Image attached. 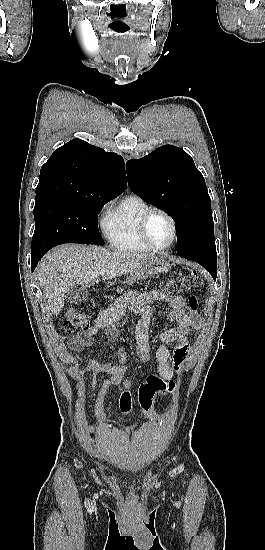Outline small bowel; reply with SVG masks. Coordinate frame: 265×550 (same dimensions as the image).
<instances>
[{
    "instance_id": "obj_1",
    "label": "small bowel",
    "mask_w": 265,
    "mask_h": 550,
    "mask_svg": "<svg viewBox=\"0 0 265 550\" xmlns=\"http://www.w3.org/2000/svg\"><path fill=\"white\" fill-rule=\"evenodd\" d=\"M155 303H161L166 307L168 309V319L177 325L175 328L163 331L160 334V345L154 354L158 364L159 376L172 386L174 393L173 378L176 374L182 372L184 368L189 353L187 338L198 324L197 316L184 309V302L178 296L164 295L158 290L147 292L128 291L102 311L90 328L70 337L67 342L69 349L72 351L84 350L92 344L94 336L100 331H105L109 340L114 342L118 337L115 327L116 322L127 311H133L140 315L135 326V354L140 362H148L153 356L150 349V326L156 313ZM125 358V349L120 347L118 350V363L91 358L78 371L79 376L87 373L94 375L105 373L109 375V378L105 379L97 389L99 415H101L104 397L112 387H118L121 391L119 396L120 410L126 415L132 412L133 402L130 390L133 384L131 380L125 379L128 370ZM66 360L73 362L75 357L71 353H67ZM96 385V378L93 376L91 386L96 388ZM164 395H169V393L166 391Z\"/></svg>"
}]
</instances>
